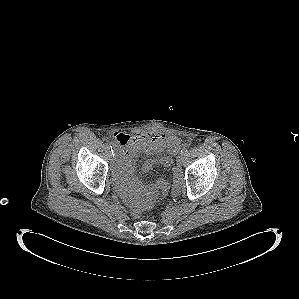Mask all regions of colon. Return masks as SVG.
Here are the masks:
<instances>
[{"label": "colon", "mask_w": 299, "mask_h": 299, "mask_svg": "<svg viewBox=\"0 0 299 299\" xmlns=\"http://www.w3.org/2000/svg\"><path fill=\"white\" fill-rule=\"evenodd\" d=\"M172 173H173L172 194L174 196H178L183 187V174H182L181 168L178 166V162H177V165H175L172 168ZM139 213H140L139 208L132 209L133 215H138Z\"/></svg>", "instance_id": "colon-1"}]
</instances>
